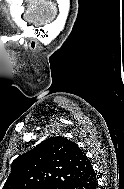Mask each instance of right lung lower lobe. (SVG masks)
Segmentation results:
<instances>
[{
    "label": "right lung lower lobe",
    "instance_id": "right-lung-lower-lobe-1",
    "mask_svg": "<svg viewBox=\"0 0 124 189\" xmlns=\"http://www.w3.org/2000/svg\"><path fill=\"white\" fill-rule=\"evenodd\" d=\"M96 174L90 166L88 170L77 179L67 183L63 189H97Z\"/></svg>",
    "mask_w": 124,
    "mask_h": 189
}]
</instances>
